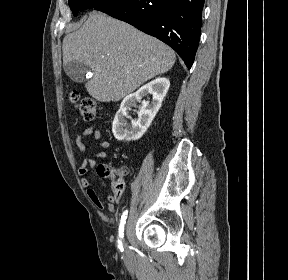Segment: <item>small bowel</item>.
Masks as SVG:
<instances>
[{
    "instance_id": "small-bowel-1",
    "label": "small bowel",
    "mask_w": 288,
    "mask_h": 280,
    "mask_svg": "<svg viewBox=\"0 0 288 280\" xmlns=\"http://www.w3.org/2000/svg\"><path fill=\"white\" fill-rule=\"evenodd\" d=\"M90 135L93 136V139L97 141L98 147L101 149L97 152L94 157L105 159L107 158L106 149L109 148L110 143L107 140L101 138V132L98 129L87 128L83 132L78 133L76 136V145L79 150L84 153L87 150V137ZM96 166V161L93 158H86L80 165L78 169V174L81 177V184L86 190V194L89 197L90 201L100 210L113 211L114 202L118 199L119 195H108L107 202H104L97 195L96 191L90 186L89 180L86 178V175L89 172V168ZM128 169L126 167L121 168V173L124 176L127 174Z\"/></svg>"
}]
</instances>
